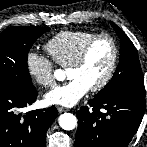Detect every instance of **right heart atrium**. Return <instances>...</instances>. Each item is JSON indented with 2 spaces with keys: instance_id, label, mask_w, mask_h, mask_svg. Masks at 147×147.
Here are the masks:
<instances>
[{
  "instance_id": "1",
  "label": "right heart atrium",
  "mask_w": 147,
  "mask_h": 147,
  "mask_svg": "<svg viewBox=\"0 0 147 147\" xmlns=\"http://www.w3.org/2000/svg\"><path fill=\"white\" fill-rule=\"evenodd\" d=\"M25 68L29 77L42 87L54 84L53 62L44 55L30 50L25 57Z\"/></svg>"
}]
</instances>
